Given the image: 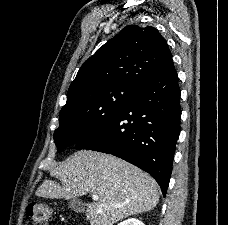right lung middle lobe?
Wrapping results in <instances>:
<instances>
[{"label": "right lung middle lobe", "mask_w": 228, "mask_h": 225, "mask_svg": "<svg viewBox=\"0 0 228 225\" xmlns=\"http://www.w3.org/2000/svg\"><path fill=\"white\" fill-rule=\"evenodd\" d=\"M136 88L111 84L86 92L67 103L59 114V128L54 132L58 152L74 145L109 120Z\"/></svg>", "instance_id": "dd1d6c3e"}]
</instances>
